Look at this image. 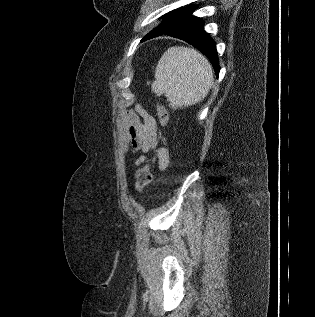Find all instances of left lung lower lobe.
Here are the masks:
<instances>
[{
    "label": "left lung lower lobe",
    "instance_id": "0a47b994",
    "mask_svg": "<svg viewBox=\"0 0 315 317\" xmlns=\"http://www.w3.org/2000/svg\"><path fill=\"white\" fill-rule=\"evenodd\" d=\"M196 8L197 6H193L192 8H190L182 17H180L168 30H166L162 34L184 40L197 48L206 57H208L216 72V75L218 76L220 66L218 53L216 50V43L210 37V35L204 31L203 20L192 15V12ZM151 38L154 37H150L148 39Z\"/></svg>",
    "mask_w": 315,
    "mask_h": 317
}]
</instances>
